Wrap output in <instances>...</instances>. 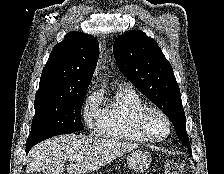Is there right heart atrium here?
<instances>
[{
	"mask_svg": "<svg viewBox=\"0 0 224 174\" xmlns=\"http://www.w3.org/2000/svg\"><path fill=\"white\" fill-rule=\"evenodd\" d=\"M101 101L102 96L99 91L91 92L84 101L83 120L91 130H98L102 112Z\"/></svg>",
	"mask_w": 224,
	"mask_h": 174,
	"instance_id": "1",
	"label": "right heart atrium"
}]
</instances>
